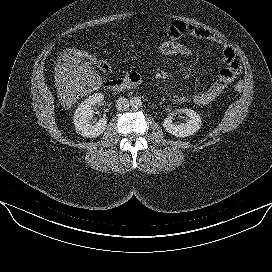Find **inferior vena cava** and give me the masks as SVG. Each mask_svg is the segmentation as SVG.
Returning a JSON list of instances; mask_svg holds the SVG:
<instances>
[{
    "instance_id": "602c4592",
    "label": "inferior vena cava",
    "mask_w": 272,
    "mask_h": 272,
    "mask_svg": "<svg viewBox=\"0 0 272 272\" xmlns=\"http://www.w3.org/2000/svg\"><path fill=\"white\" fill-rule=\"evenodd\" d=\"M115 106L118 111H125L129 107V100L125 97H120L116 100Z\"/></svg>"
}]
</instances>
